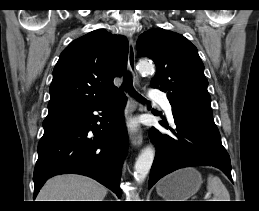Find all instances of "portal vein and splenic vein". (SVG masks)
I'll list each match as a JSON object with an SVG mask.
<instances>
[{"label":"portal vein and splenic vein","instance_id":"18ae733b","mask_svg":"<svg viewBox=\"0 0 259 211\" xmlns=\"http://www.w3.org/2000/svg\"><path fill=\"white\" fill-rule=\"evenodd\" d=\"M211 196H210V194H207L206 196H205V198L207 199V198H210Z\"/></svg>","mask_w":259,"mask_h":211}]
</instances>
